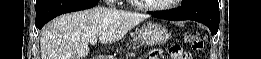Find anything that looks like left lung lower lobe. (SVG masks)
I'll use <instances>...</instances> for the list:
<instances>
[{"label": "left lung lower lobe", "instance_id": "0a47b994", "mask_svg": "<svg viewBox=\"0 0 261 59\" xmlns=\"http://www.w3.org/2000/svg\"><path fill=\"white\" fill-rule=\"evenodd\" d=\"M153 16L168 20H195L206 25L212 35L216 34L219 28L220 16L217 3H193L167 12H156Z\"/></svg>", "mask_w": 261, "mask_h": 59}]
</instances>
